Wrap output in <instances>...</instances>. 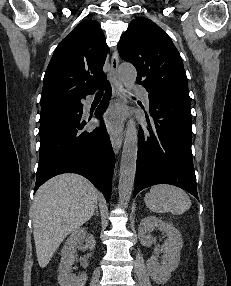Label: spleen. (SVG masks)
I'll list each match as a JSON object with an SVG mask.
<instances>
[{
	"instance_id": "obj_1",
	"label": "spleen",
	"mask_w": 231,
	"mask_h": 286,
	"mask_svg": "<svg viewBox=\"0 0 231 286\" xmlns=\"http://www.w3.org/2000/svg\"><path fill=\"white\" fill-rule=\"evenodd\" d=\"M144 201L155 213L171 212L174 215H181L191 206V200L184 190L166 184L151 187Z\"/></svg>"
}]
</instances>
